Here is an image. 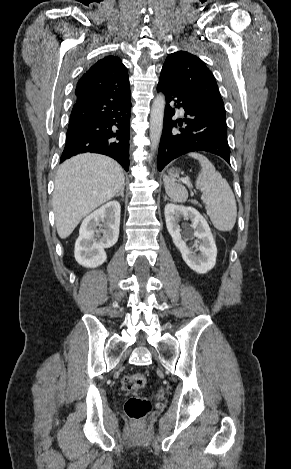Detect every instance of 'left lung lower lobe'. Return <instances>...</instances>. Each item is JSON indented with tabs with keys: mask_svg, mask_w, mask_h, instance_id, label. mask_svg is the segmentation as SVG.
Listing matches in <instances>:
<instances>
[{
	"mask_svg": "<svg viewBox=\"0 0 291 469\" xmlns=\"http://www.w3.org/2000/svg\"><path fill=\"white\" fill-rule=\"evenodd\" d=\"M157 91L166 97L165 118L158 152V170L173 159L195 151L219 155L230 163L225 111L212 107L190 95L183 94L159 80ZM173 102V103H172ZM185 110L183 120H172L175 108ZM185 129L173 131L177 124Z\"/></svg>",
	"mask_w": 291,
	"mask_h": 469,
	"instance_id": "1",
	"label": "left lung lower lobe"
}]
</instances>
